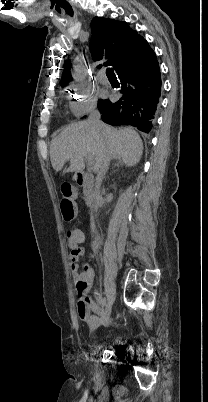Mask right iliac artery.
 <instances>
[{"label": "right iliac artery", "mask_w": 208, "mask_h": 402, "mask_svg": "<svg viewBox=\"0 0 208 402\" xmlns=\"http://www.w3.org/2000/svg\"><path fill=\"white\" fill-rule=\"evenodd\" d=\"M102 307L106 308L107 307V300L106 298L103 299Z\"/></svg>", "instance_id": "obj_1"}]
</instances>
